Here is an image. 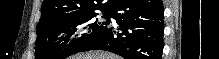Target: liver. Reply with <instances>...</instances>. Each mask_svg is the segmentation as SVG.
<instances>
[{"instance_id": "6515ba94", "label": "liver", "mask_w": 219, "mask_h": 59, "mask_svg": "<svg viewBox=\"0 0 219 59\" xmlns=\"http://www.w3.org/2000/svg\"><path fill=\"white\" fill-rule=\"evenodd\" d=\"M70 59H121L119 56L103 51H90L70 57Z\"/></svg>"}]
</instances>
